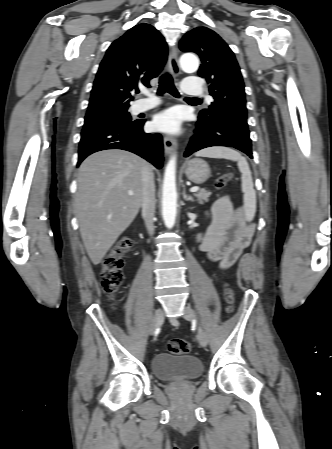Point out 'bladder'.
I'll use <instances>...</instances> for the list:
<instances>
[{"instance_id":"31cf9c89","label":"bladder","mask_w":332,"mask_h":449,"mask_svg":"<svg viewBox=\"0 0 332 449\" xmlns=\"http://www.w3.org/2000/svg\"><path fill=\"white\" fill-rule=\"evenodd\" d=\"M153 375L161 381L192 380L203 372V365L194 356L156 354L151 362Z\"/></svg>"}]
</instances>
